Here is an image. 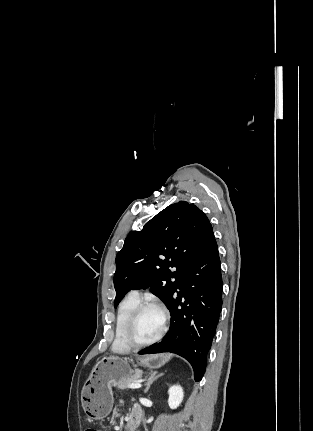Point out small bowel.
Returning <instances> with one entry per match:
<instances>
[{
  "mask_svg": "<svg viewBox=\"0 0 313 431\" xmlns=\"http://www.w3.org/2000/svg\"><path fill=\"white\" fill-rule=\"evenodd\" d=\"M133 413H136V414H138V415H140V414H141L140 409H139L138 407L133 408V410H132V413H131V414H133Z\"/></svg>",
  "mask_w": 313,
  "mask_h": 431,
  "instance_id": "c3829d8e",
  "label": "small bowel"
}]
</instances>
